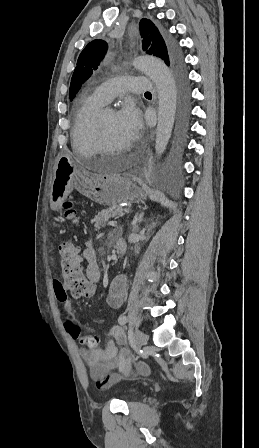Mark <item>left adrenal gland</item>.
Wrapping results in <instances>:
<instances>
[{
    "instance_id": "obj_1",
    "label": "left adrenal gland",
    "mask_w": 259,
    "mask_h": 448,
    "mask_svg": "<svg viewBox=\"0 0 259 448\" xmlns=\"http://www.w3.org/2000/svg\"><path fill=\"white\" fill-rule=\"evenodd\" d=\"M142 218H143V212H141L139 218H138V222H142Z\"/></svg>"
}]
</instances>
